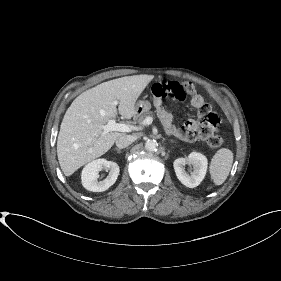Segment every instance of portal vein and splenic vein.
<instances>
[{
	"label": "portal vein and splenic vein",
	"mask_w": 281,
	"mask_h": 281,
	"mask_svg": "<svg viewBox=\"0 0 281 281\" xmlns=\"http://www.w3.org/2000/svg\"><path fill=\"white\" fill-rule=\"evenodd\" d=\"M115 104H118V101H114ZM153 122V118L148 116L146 117L142 124L143 126H149ZM104 133H108L111 131H119V132H132V131H138L140 129V126L128 124V123H116L115 119H110L106 125L103 127Z\"/></svg>",
	"instance_id": "18ae733b"
}]
</instances>
